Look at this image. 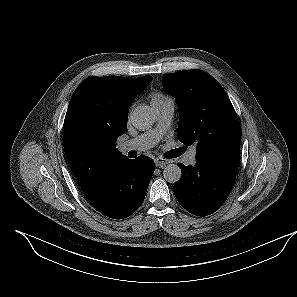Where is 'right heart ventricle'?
Wrapping results in <instances>:
<instances>
[{
    "instance_id": "obj_1",
    "label": "right heart ventricle",
    "mask_w": 297,
    "mask_h": 297,
    "mask_svg": "<svg viewBox=\"0 0 297 297\" xmlns=\"http://www.w3.org/2000/svg\"><path fill=\"white\" fill-rule=\"evenodd\" d=\"M167 96L161 94V93H156L152 96V99H151V103L152 102H156V101H160V100H163L164 98H166Z\"/></svg>"
}]
</instances>
